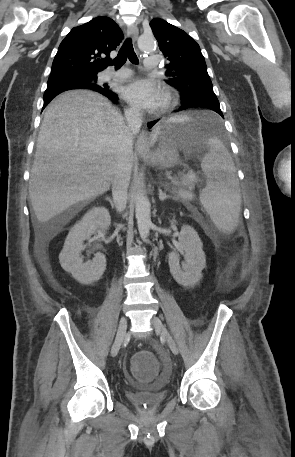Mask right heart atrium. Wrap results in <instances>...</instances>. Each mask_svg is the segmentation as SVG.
I'll return each instance as SVG.
<instances>
[{
	"label": "right heart atrium",
	"mask_w": 295,
	"mask_h": 457,
	"mask_svg": "<svg viewBox=\"0 0 295 457\" xmlns=\"http://www.w3.org/2000/svg\"><path fill=\"white\" fill-rule=\"evenodd\" d=\"M130 115L136 116L138 114V111L134 108H129L128 110Z\"/></svg>",
	"instance_id": "1"
}]
</instances>
